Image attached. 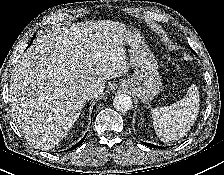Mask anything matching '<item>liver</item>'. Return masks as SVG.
I'll return each mask as SVG.
<instances>
[{"mask_svg": "<svg viewBox=\"0 0 224 175\" xmlns=\"http://www.w3.org/2000/svg\"><path fill=\"white\" fill-rule=\"evenodd\" d=\"M127 33L121 22H80L47 30L23 53L11 75L9 97L12 118L28 141L53 148L78 119L83 92L94 88L98 97L105 80L128 72Z\"/></svg>", "mask_w": 224, "mask_h": 175, "instance_id": "liver-1", "label": "liver"}]
</instances>
